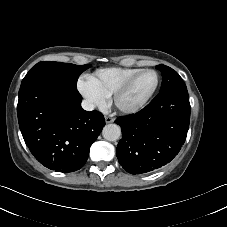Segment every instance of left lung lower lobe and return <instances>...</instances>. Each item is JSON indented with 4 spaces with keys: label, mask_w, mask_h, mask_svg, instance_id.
<instances>
[{
    "label": "left lung lower lobe",
    "mask_w": 227,
    "mask_h": 227,
    "mask_svg": "<svg viewBox=\"0 0 227 227\" xmlns=\"http://www.w3.org/2000/svg\"><path fill=\"white\" fill-rule=\"evenodd\" d=\"M190 111L187 88H174L160 92L138 113L117 118L120 165L130 174H142L169 163L185 142Z\"/></svg>",
    "instance_id": "left-lung-lower-lobe-1"
}]
</instances>
